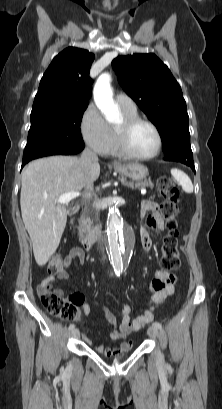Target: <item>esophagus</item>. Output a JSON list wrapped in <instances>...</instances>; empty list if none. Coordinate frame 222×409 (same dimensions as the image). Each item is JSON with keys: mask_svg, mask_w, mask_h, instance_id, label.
Returning a JSON list of instances; mask_svg holds the SVG:
<instances>
[{"mask_svg": "<svg viewBox=\"0 0 222 409\" xmlns=\"http://www.w3.org/2000/svg\"><path fill=\"white\" fill-rule=\"evenodd\" d=\"M113 165L117 166V165H119V162H118V161H114V162H113Z\"/></svg>", "mask_w": 222, "mask_h": 409, "instance_id": "1", "label": "esophagus"}]
</instances>
